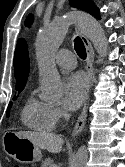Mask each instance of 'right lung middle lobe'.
I'll list each match as a JSON object with an SVG mask.
<instances>
[{
    "label": "right lung middle lobe",
    "mask_w": 125,
    "mask_h": 167,
    "mask_svg": "<svg viewBox=\"0 0 125 167\" xmlns=\"http://www.w3.org/2000/svg\"><path fill=\"white\" fill-rule=\"evenodd\" d=\"M16 90L18 92H21L23 90V87H21V88L20 87H16ZM14 98H16V97H14ZM11 106H12V102H10V104L8 106L7 116L9 115V110H10Z\"/></svg>",
    "instance_id": "right-lung-middle-lobe-1"
}]
</instances>
